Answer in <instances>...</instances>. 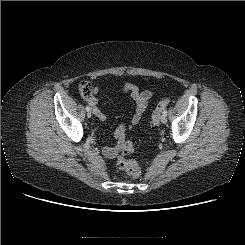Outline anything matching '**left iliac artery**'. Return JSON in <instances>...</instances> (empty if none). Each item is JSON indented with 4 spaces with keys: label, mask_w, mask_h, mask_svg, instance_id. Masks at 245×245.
<instances>
[{
    "label": "left iliac artery",
    "mask_w": 245,
    "mask_h": 245,
    "mask_svg": "<svg viewBox=\"0 0 245 245\" xmlns=\"http://www.w3.org/2000/svg\"><path fill=\"white\" fill-rule=\"evenodd\" d=\"M163 115L167 116V109L163 111Z\"/></svg>",
    "instance_id": "obj_1"
}]
</instances>
